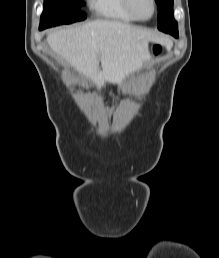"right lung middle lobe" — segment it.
Masks as SVG:
<instances>
[{
	"label": "right lung middle lobe",
	"instance_id": "obj_1",
	"mask_svg": "<svg viewBox=\"0 0 219 258\" xmlns=\"http://www.w3.org/2000/svg\"><path fill=\"white\" fill-rule=\"evenodd\" d=\"M82 5V0H44L39 28L45 29L86 19V14L79 9Z\"/></svg>",
	"mask_w": 219,
	"mask_h": 258
}]
</instances>
